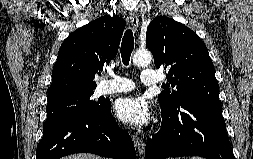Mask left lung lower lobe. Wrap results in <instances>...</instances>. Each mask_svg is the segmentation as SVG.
Wrapping results in <instances>:
<instances>
[{"label":"left lung lower lobe","mask_w":253,"mask_h":159,"mask_svg":"<svg viewBox=\"0 0 253 159\" xmlns=\"http://www.w3.org/2000/svg\"><path fill=\"white\" fill-rule=\"evenodd\" d=\"M161 111V130L148 140L146 159L180 156L235 159L220 102L195 100L173 112Z\"/></svg>","instance_id":"0a47b994"}]
</instances>
